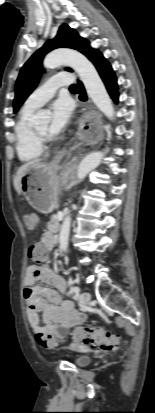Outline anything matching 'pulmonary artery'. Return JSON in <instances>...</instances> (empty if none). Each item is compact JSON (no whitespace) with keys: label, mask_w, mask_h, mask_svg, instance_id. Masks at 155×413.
<instances>
[{"label":"pulmonary artery","mask_w":155,"mask_h":413,"mask_svg":"<svg viewBox=\"0 0 155 413\" xmlns=\"http://www.w3.org/2000/svg\"><path fill=\"white\" fill-rule=\"evenodd\" d=\"M72 83L73 77L69 73H60L49 77L45 80L43 85H41L29 96L25 106L32 109H37L50 100L59 87Z\"/></svg>","instance_id":"pulmonary-artery-1"}]
</instances>
